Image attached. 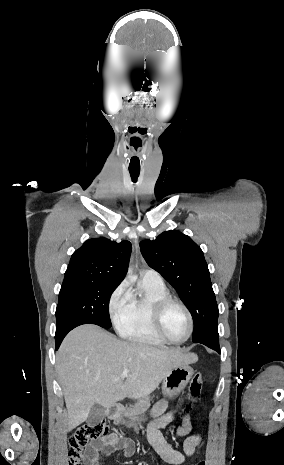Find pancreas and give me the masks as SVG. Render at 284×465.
Segmentation results:
<instances>
[{
	"instance_id": "obj_1",
	"label": "pancreas",
	"mask_w": 284,
	"mask_h": 465,
	"mask_svg": "<svg viewBox=\"0 0 284 465\" xmlns=\"http://www.w3.org/2000/svg\"><path fill=\"white\" fill-rule=\"evenodd\" d=\"M132 407V409H130ZM130 407H126L125 411H123V417H128V419H136L137 415H142L145 413L147 409L150 407V397H141L138 399L135 405H130Z\"/></svg>"
}]
</instances>
